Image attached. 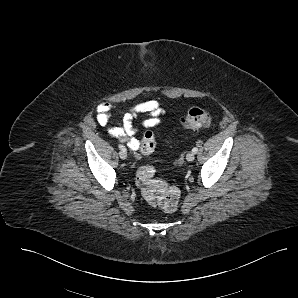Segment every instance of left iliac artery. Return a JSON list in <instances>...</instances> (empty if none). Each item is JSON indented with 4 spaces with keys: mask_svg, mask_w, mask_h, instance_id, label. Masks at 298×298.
Instances as JSON below:
<instances>
[{
    "mask_svg": "<svg viewBox=\"0 0 298 298\" xmlns=\"http://www.w3.org/2000/svg\"><path fill=\"white\" fill-rule=\"evenodd\" d=\"M192 152H193L194 154H196V153L198 152V148H197V147H194V148L192 149Z\"/></svg>",
    "mask_w": 298,
    "mask_h": 298,
    "instance_id": "1",
    "label": "left iliac artery"
}]
</instances>
